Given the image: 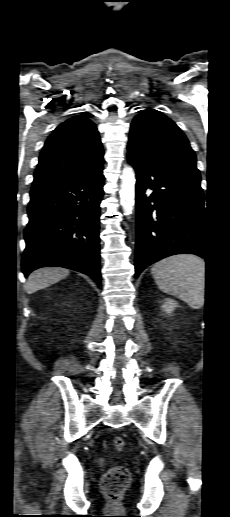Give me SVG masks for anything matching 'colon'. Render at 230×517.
I'll use <instances>...</instances> for the list:
<instances>
[{"label":"colon","mask_w":230,"mask_h":517,"mask_svg":"<svg viewBox=\"0 0 230 517\" xmlns=\"http://www.w3.org/2000/svg\"><path fill=\"white\" fill-rule=\"evenodd\" d=\"M112 446L121 451L125 448V441L121 437H114ZM129 481V472L124 467H113L105 473L102 479L103 492L109 499L116 500L127 487Z\"/></svg>","instance_id":"colon-1"}]
</instances>
